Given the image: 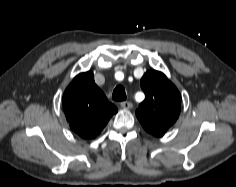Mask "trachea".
<instances>
[{"label":"trachea","mask_w":236,"mask_h":187,"mask_svg":"<svg viewBox=\"0 0 236 187\" xmlns=\"http://www.w3.org/2000/svg\"><path fill=\"white\" fill-rule=\"evenodd\" d=\"M112 98L115 101L126 100L127 96H126L125 88L122 85H118L113 91Z\"/></svg>","instance_id":"3493384b"}]
</instances>
